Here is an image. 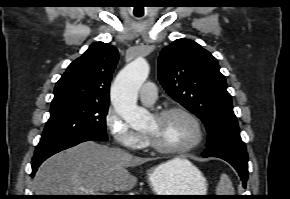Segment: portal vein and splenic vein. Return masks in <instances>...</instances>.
<instances>
[{"label":"portal vein and splenic vein","instance_id":"portal-vein-and-splenic-vein-1","mask_svg":"<svg viewBox=\"0 0 290 199\" xmlns=\"http://www.w3.org/2000/svg\"><path fill=\"white\" fill-rule=\"evenodd\" d=\"M90 192V194H92V195H104V194H102V193H94L93 191H89Z\"/></svg>","mask_w":290,"mask_h":199}]
</instances>
